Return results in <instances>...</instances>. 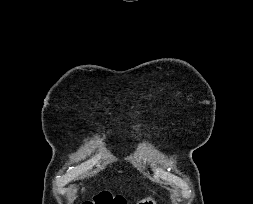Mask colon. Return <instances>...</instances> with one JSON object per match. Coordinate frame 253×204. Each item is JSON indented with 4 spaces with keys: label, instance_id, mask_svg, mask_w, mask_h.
Wrapping results in <instances>:
<instances>
[{
    "label": "colon",
    "instance_id": "obj_1",
    "mask_svg": "<svg viewBox=\"0 0 253 204\" xmlns=\"http://www.w3.org/2000/svg\"><path fill=\"white\" fill-rule=\"evenodd\" d=\"M82 204H125L120 199L112 196L107 191H102L94 196L92 199L84 201Z\"/></svg>",
    "mask_w": 253,
    "mask_h": 204
}]
</instances>
